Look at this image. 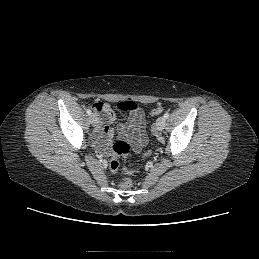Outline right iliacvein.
Here are the masks:
<instances>
[{
	"mask_svg": "<svg viewBox=\"0 0 259 259\" xmlns=\"http://www.w3.org/2000/svg\"><path fill=\"white\" fill-rule=\"evenodd\" d=\"M90 123H91L93 126H95V125L98 123V118H97V116H96L95 114H92V115L90 116Z\"/></svg>",
	"mask_w": 259,
	"mask_h": 259,
	"instance_id": "1",
	"label": "right iliac vein"
}]
</instances>
